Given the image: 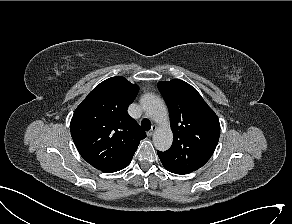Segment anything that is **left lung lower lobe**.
I'll list each match as a JSON object with an SVG mask.
<instances>
[{"instance_id":"0a47b994","label":"left lung lower lobe","mask_w":292,"mask_h":224,"mask_svg":"<svg viewBox=\"0 0 292 224\" xmlns=\"http://www.w3.org/2000/svg\"><path fill=\"white\" fill-rule=\"evenodd\" d=\"M166 168V167H165ZM168 171L172 172V173H176V174H180V173H177V172H174V171H171L169 170L168 168H166Z\"/></svg>"}]
</instances>
